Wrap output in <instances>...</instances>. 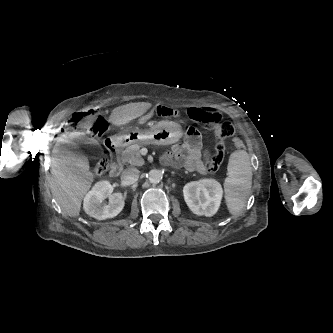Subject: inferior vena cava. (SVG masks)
<instances>
[{
    "instance_id": "obj_1",
    "label": "inferior vena cava",
    "mask_w": 333,
    "mask_h": 333,
    "mask_svg": "<svg viewBox=\"0 0 333 333\" xmlns=\"http://www.w3.org/2000/svg\"><path fill=\"white\" fill-rule=\"evenodd\" d=\"M140 177V171L137 168H128L123 171L121 180L125 185L135 183Z\"/></svg>"
}]
</instances>
